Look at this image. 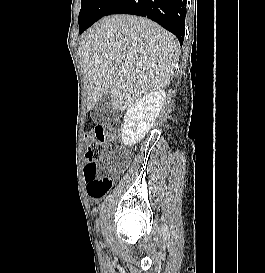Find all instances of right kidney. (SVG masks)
<instances>
[{
  "instance_id": "right-kidney-1",
  "label": "right kidney",
  "mask_w": 265,
  "mask_h": 273,
  "mask_svg": "<svg viewBox=\"0 0 265 273\" xmlns=\"http://www.w3.org/2000/svg\"><path fill=\"white\" fill-rule=\"evenodd\" d=\"M166 98L163 89L155 90L137 100L126 112L121 137L125 146H134L152 128Z\"/></svg>"
}]
</instances>
